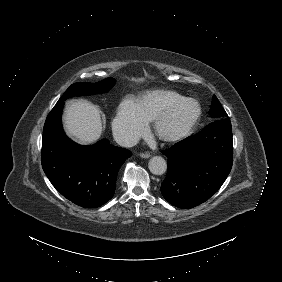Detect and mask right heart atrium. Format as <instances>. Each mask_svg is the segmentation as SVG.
Instances as JSON below:
<instances>
[{"mask_svg":"<svg viewBox=\"0 0 282 282\" xmlns=\"http://www.w3.org/2000/svg\"><path fill=\"white\" fill-rule=\"evenodd\" d=\"M147 128L148 119L140 104L132 99L124 100L112 123L116 138L125 143H132L146 132Z\"/></svg>","mask_w":282,"mask_h":282,"instance_id":"right-heart-atrium-1","label":"right heart atrium"}]
</instances>
